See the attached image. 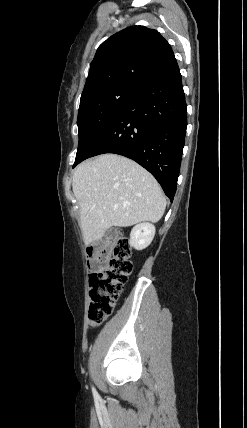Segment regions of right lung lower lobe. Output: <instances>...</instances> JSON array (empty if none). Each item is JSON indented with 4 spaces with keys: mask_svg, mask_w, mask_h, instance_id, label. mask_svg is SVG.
<instances>
[{
    "mask_svg": "<svg viewBox=\"0 0 247 428\" xmlns=\"http://www.w3.org/2000/svg\"><path fill=\"white\" fill-rule=\"evenodd\" d=\"M187 127V105L176 63L148 84L101 130L81 161L104 153L133 159L147 169L173 201Z\"/></svg>",
    "mask_w": 247,
    "mask_h": 428,
    "instance_id": "1",
    "label": "right lung lower lobe"
}]
</instances>
